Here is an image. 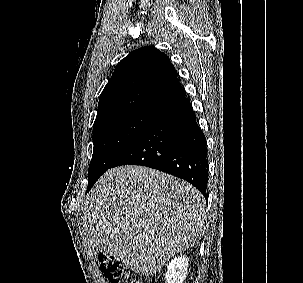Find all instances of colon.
Segmentation results:
<instances>
[{
    "label": "colon",
    "instance_id": "colon-1",
    "mask_svg": "<svg viewBox=\"0 0 303 283\" xmlns=\"http://www.w3.org/2000/svg\"><path fill=\"white\" fill-rule=\"evenodd\" d=\"M98 263L102 274L110 283H143L113 257L102 254L98 258Z\"/></svg>",
    "mask_w": 303,
    "mask_h": 283
}]
</instances>
